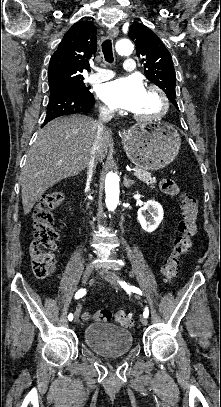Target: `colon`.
Instances as JSON below:
<instances>
[{"label": "colon", "instance_id": "obj_1", "mask_svg": "<svg viewBox=\"0 0 221 407\" xmlns=\"http://www.w3.org/2000/svg\"><path fill=\"white\" fill-rule=\"evenodd\" d=\"M160 188L167 195L179 197L182 211L173 250L162 267L166 282L172 284L178 274L181 256L190 252L192 248L199 208L196 197L181 193L180 188L173 179H163ZM62 201L63 195L60 192L44 194L38 199L33 211V235L29 244V254L32 259L33 272L37 277L46 278L51 276L53 272L51 254L56 248L58 235L53 227L52 211L61 205ZM112 317L113 314L109 310H98L87 315L89 320L94 321H109ZM114 319L124 327L134 325L132 316L124 310L116 312Z\"/></svg>", "mask_w": 221, "mask_h": 407}]
</instances>
